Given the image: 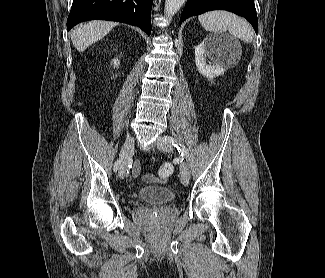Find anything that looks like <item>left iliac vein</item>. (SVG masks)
I'll return each instance as SVG.
<instances>
[{"label": "left iliac vein", "mask_w": 325, "mask_h": 278, "mask_svg": "<svg viewBox=\"0 0 325 278\" xmlns=\"http://www.w3.org/2000/svg\"><path fill=\"white\" fill-rule=\"evenodd\" d=\"M156 146L158 149H160L163 152H171L172 146L170 143L165 142L163 137H159L156 141ZM189 171L186 163H182L180 166V180L183 185L187 186L189 183Z\"/></svg>", "instance_id": "obj_1"}]
</instances>
